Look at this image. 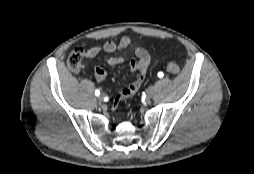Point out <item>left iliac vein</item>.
Returning a JSON list of instances; mask_svg holds the SVG:
<instances>
[{
    "label": "left iliac vein",
    "instance_id": "1",
    "mask_svg": "<svg viewBox=\"0 0 254 174\" xmlns=\"http://www.w3.org/2000/svg\"><path fill=\"white\" fill-rule=\"evenodd\" d=\"M156 88L154 86H150L147 90V98L150 99L153 97Z\"/></svg>",
    "mask_w": 254,
    "mask_h": 174
}]
</instances>
